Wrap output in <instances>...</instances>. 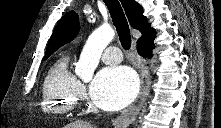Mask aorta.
Listing matches in <instances>:
<instances>
[{
	"label": "aorta",
	"instance_id": "1",
	"mask_svg": "<svg viewBox=\"0 0 221 128\" xmlns=\"http://www.w3.org/2000/svg\"><path fill=\"white\" fill-rule=\"evenodd\" d=\"M115 31L109 25L97 28L86 41L76 64L75 73L83 81H90L98 66L103 50L112 41Z\"/></svg>",
	"mask_w": 221,
	"mask_h": 128
}]
</instances>
